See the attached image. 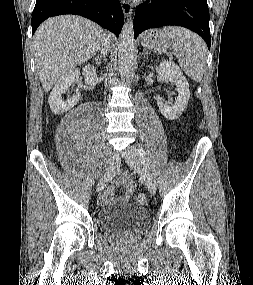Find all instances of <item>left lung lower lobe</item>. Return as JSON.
<instances>
[{"mask_svg": "<svg viewBox=\"0 0 253 285\" xmlns=\"http://www.w3.org/2000/svg\"><path fill=\"white\" fill-rule=\"evenodd\" d=\"M165 25L186 27L211 46L209 10L206 0H151L136 7L134 37L149 28Z\"/></svg>", "mask_w": 253, "mask_h": 285, "instance_id": "1", "label": "left lung lower lobe"}]
</instances>
